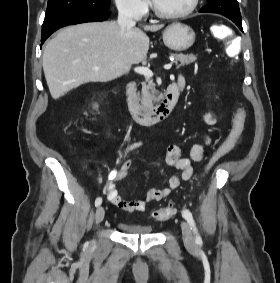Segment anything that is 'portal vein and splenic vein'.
<instances>
[{
	"instance_id": "18ae733b",
	"label": "portal vein and splenic vein",
	"mask_w": 280,
	"mask_h": 283,
	"mask_svg": "<svg viewBox=\"0 0 280 283\" xmlns=\"http://www.w3.org/2000/svg\"><path fill=\"white\" fill-rule=\"evenodd\" d=\"M172 67V63L165 64L164 69L169 70ZM134 71L140 75H144L146 78L153 77V72L148 67H136Z\"/></svg>"
}]
</instances>
